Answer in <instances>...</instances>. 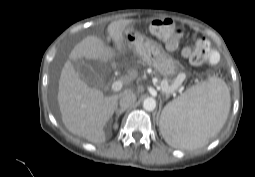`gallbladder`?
I'll list each match as a JSON object with an SVG mask.
<instances>
[{
  "label": "gallbladder",
  "mask_w": 255,
  "mask_h": 177,
  "mask_svg": "<svg viewBox=\"0 0 255 177\" xmlns=\"http://www.w3.org/2000/svg\"><path fill=\"white\" fill-rule=\"evenodd\" d=\"M74 66L79 73V76L87 83L93 86L99 84V76L95 73L92 67L82 60L74 61Z\"/></svg>",
  "instance_id": "obj_1"
}]
</instances>
